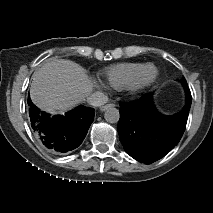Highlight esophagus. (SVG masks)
<instances>
[{
	"instance_id": "obj_1",
	"label": "esophagus",
	"mask_w": 213,
	"mask_h": 213,
	"mask_svg": "<svg viewBox=\"0 0 213 213\" xmlns=\"http://www.w3.org/2000/svg\"><path fill=\"white\" fill-rule=\"evenodd\" d=\"M114 106H115V104H113V103L106 104V105L100 107V111L103 112V111H105L107 108H109V107H114Z\"/></svg>"
}]
</instances>
